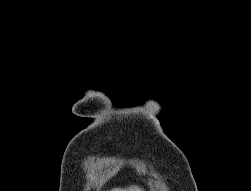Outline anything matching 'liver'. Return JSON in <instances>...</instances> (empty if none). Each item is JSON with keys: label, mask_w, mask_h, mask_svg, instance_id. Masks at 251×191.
Returning <instances> with one entry per match:
<instances>
[{"label": "liver", "mask_w": 251, "mask_h": 191, "mask_svg": "<svg viewBox=\"0 0 251 191\" xmlns=\"http://www.w3.org/2000/svg\"><path fill=\"white\" fill-rule=\"evenodd\" d=\"M114 191H144V189H141V187H138V185H131V187H125V189H121V187H115Z\"/></svg>", "instance_id": "6515ba94"}]
</instances>
